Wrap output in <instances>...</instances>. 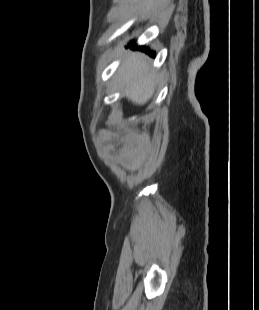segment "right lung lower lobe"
Segmentation results:
<instances>
[{
	"mask_svg": "<svg viewBox=\"0 0 259 310\" xmlns=\"http://www.w3.org/2000/svg\"><path fill=\"white\" fill-rule=\"evenodd\" d=\"M142 50L147 51V52H148V53H150V55H152V56H155V53H154V52L149 51V49H148V50H146V48H145V47H142Z\"/></svg>",
	"mask_w": 259,
	"mask_h": 310,
	"instance_id": "obj_1",
	"label": "right lung lower lobe"
}]
</instances>
